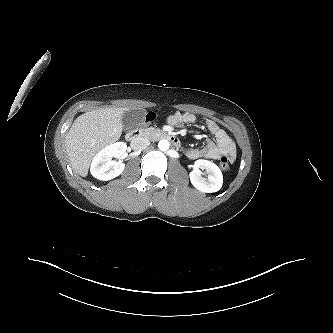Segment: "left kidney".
Here are the masks:
<instances>
[{
	"mask_svg": "<svg viewBox=\"0 0 333 333\" xmlns=\"http://www.w3.org/2000/svg\"><path fill=\"white\" fill-rule=\"evenodd\" d=\"M193 170L190 172L192 185L201 192L213 193L221 189L223 175L219 167L211 161L199 159L195 161ZM203 169L208 174L207 178L202 177Z\"/></svg>",
	"mask_w": 333,
	"mask_h": 333,
	"instance_id": "1",
	"label": "left kidney"
}]
</instances>
